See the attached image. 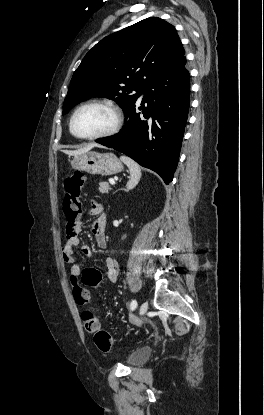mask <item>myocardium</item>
Returning <instances> with one entry per match:
<instances>
[{"label": "myocardium", "instance_id": "1", "mask_svg": "<svg viewBox=\"0 0 264 415\" xmlns=\"http://www.w3.org/2000/svg\"><path fill=\"white\" fill-rule=\"evenodd\" d=\"M88 106H102V107L109 109L112 112L113 117H114V122H113L112 127L107 131H104V132H101L95 135L85 136V135L79 134L75 130V127H74L75 118L80 110ZM122 124H123V115H122L121 109L116 104L108 100H93V101H88L86 103H83L73 112L70 118V131L72 132L74 136L80 139L96 140V139H102V138L113 136L121 129Z\"/></svg>", "mask_w": 264, "mask_h": 415}]
</instances>
